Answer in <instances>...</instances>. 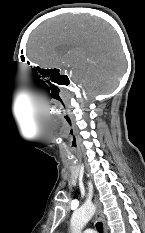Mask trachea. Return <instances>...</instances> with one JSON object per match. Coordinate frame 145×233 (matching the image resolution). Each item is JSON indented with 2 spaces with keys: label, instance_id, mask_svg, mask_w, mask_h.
<instances>
[{
  "label": "trachea",
  "instance_id": "3493384b",
  "mask_svg": "<svg viewBox=\"0 0 145 233\" xmlns=\"http://www.w3.org/2000/svg\"><path fill=\"white\" fill-rule=\"evenodd\" d=\"M96 228L99 233H103V225L101 222L96 223Z\"/></svg>",
  "mask_w": 145,
  "mask_h": 233
}]
</instances>
